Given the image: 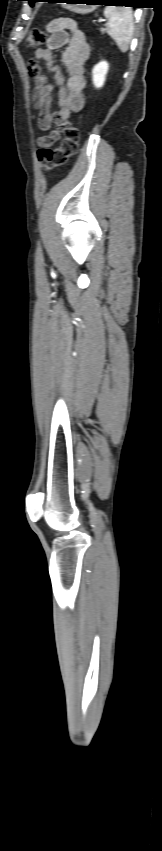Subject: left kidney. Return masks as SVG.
I'll use <instances>...</instances> for the list:
<instances>
[{
  "mask_svg": "<svg viewBox=\"0 0 162 851\" xmlns=\"http://www.w3.org/2000/svg\"><path fill=\"white\" fill-rule=\"evenodd\" d=\"M108 69L109 65L106 61H101L94 66L92 70V80L96 88H100L104 85Z\"/></svg>",
  "mask_w": 162,
  "mask_h": 851,
  "instance_id": "1",
  "label": "left kidney"
}]
</instances>
